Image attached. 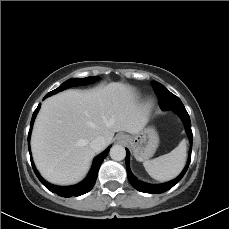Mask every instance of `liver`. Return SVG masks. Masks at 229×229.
<instances>
[{"instance_id": "1", "label": "liver", "mask_w": 229, "mask_h": 229, "mask_svg": "<svg viewBox=\"0 0 229 229\" xmlns=\"http://www.w3.org/2000/svg\"><path fill=\"white\" fill-rule=\"evenodd\" d=\"M148 122L147 110L136 103L132 87L112 82L90 90H67L46 99L31 137L33 159L51 183L79 182L89 170L95 151L90 142L115 132L140 133Z\"/></svg>"}]
</instances>
